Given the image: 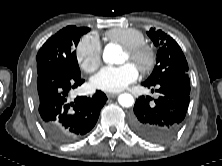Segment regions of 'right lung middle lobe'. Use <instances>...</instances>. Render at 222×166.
Segmentation results:
<instances>
[{
    "mask_svg": "<svg viewBox=\"0 0 222 166\" xmlns=\"http://www.w3.org/2000/svg\"><path fill=\"white\" fill-rule=\"evenodd\" d=\"M89 30L87 27L67 26L51 36L37 54V74L54 68L80 74L75 47Z\"/></svg>",
    "mask_w": 222,
    "mask_h": 166,
    "instance_id": "1",
    "label": "right lung middle lobe"
}]
</instances>
